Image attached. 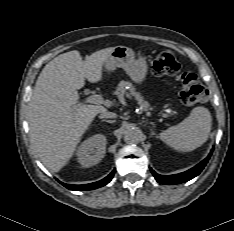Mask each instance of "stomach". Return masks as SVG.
I'll return each instance as SVG.
<instances>
[{
  "label": "stomach",
  "instance_id": "stomach-1",
  "mask_svg": "<svg viewBox=\"0 0 234 231\" xmlns=\"http://www.w3.org/2000/svg\"><path fill=\"white\" fill-rule=\"evenodd\" d=\"M104 67L108 72L116 68H122L129 75L131 80L140 85L146 78L148 65L143 57L135 58V53L126 46H117L104 62Z\"/></svg>",
  "mask_w": 234,
  "mask_h": 231
}]
</instances>
